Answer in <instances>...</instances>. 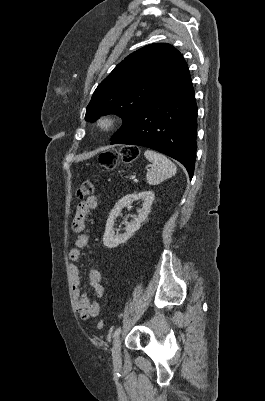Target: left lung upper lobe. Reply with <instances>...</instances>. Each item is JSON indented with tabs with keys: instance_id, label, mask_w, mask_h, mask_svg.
Segmentation results:
<instances>
[{
	"instance_id": "obj_1",
	"label": "left lung upper lobe",
	"mask_w": 265,
	"mask_h": 401,
	"mask_svg": "<svg viewBox=\"0 0 265 401\" xmlns=\"http://www.w3.org/2000/svg\"><path fill=\"white\" fill-rule=\"evenodd\" d=\"M187 68L181 53L166 43L142 47L127 56L96 88L86 108V121L117 114L124 131Z\"/></svg>"
}]
</instances>
